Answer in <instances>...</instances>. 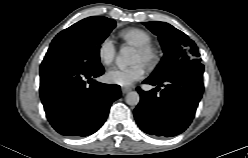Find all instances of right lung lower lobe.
<instances>
[{
    "label": "right lung lower lobe",
    "instance_id": "98d812e1",
    "mask_svg": "<svg viewBox=\"0 0 248 158\" xmlns=\"http://www.w3.org/2000/svg\"><path fill=\"white\" fill-rule=\"evenodd\" d=\"M101 64L82 65L70 61L43 60L40 67V96L52 127L66 136H87L105 122L120 86L97 82ZM89 83V85L87 84Z\"/></svg>",
    "mask_w": 248,
    "mask_h": 158
}]
</instances>
